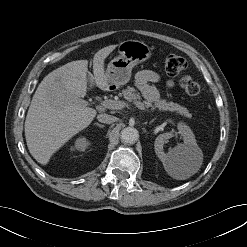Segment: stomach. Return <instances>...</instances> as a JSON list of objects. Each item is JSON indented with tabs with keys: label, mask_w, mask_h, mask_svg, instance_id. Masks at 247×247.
<instances>
[{
	"label": "stomach",
	"mask_w": 247,
	"mask_h": 247,
	"mask_svg": "<svg viewBox=\"0 0 247 247\" xmlns=\"http://www.w3.org/2000/svg\"><path fill=\"white\" fill-rule=\"evenodd\" d=\"M119 56L112 59L105 71L109 87L118 88L129 82L132 68L151 57V49L144 42L125 40L118 46Z\"/></svg>",
	"instance_id": "1"
}]
</instances>
